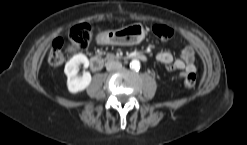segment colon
I'll return each instance as SVG.
<instances>
[{"mask_svg":"<svg viewBox=\"0 0 247 145\" xmlns=\"http://www.w3.org/2000/svg\"><path fill=\"white\" fill-rule=\"evenodd\" d=\"M154 34L163 41L169 40L174 35L171 26L158 24L153 27ZM92 36V26L88 23H82L74 26L66 39L56 38L51 46L48 61L53 66H59L64 63L66 57L76 50L85 49ZM196 84V74L194 72L184 75V86L192 88Z\"/></svg>","mask_w":247,"mask_h":145,"instance_id":"colon-1","label":"colon"}]
</instances>
